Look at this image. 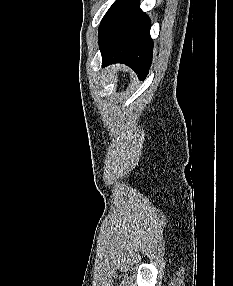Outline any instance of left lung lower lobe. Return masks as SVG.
<instances>
[{
	"label": "left lung lower lobe",
	"instance_id": "left-lung-lower-lobe-1",
	"mask_svg": "<svg viewBox=\"0 0 233 286\" xmlns=\"http://www.w3.org/2000/svg\"><path fill=\"white\" fill-rule=\"evenodd\" d=\"M150 26L139 0H116L99 27L102 65L124 63L146 78L153 54Z\"/></svg>",
	"mask_w": 233,
	"mask_h": 286
}]
</instances>
